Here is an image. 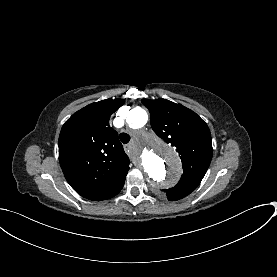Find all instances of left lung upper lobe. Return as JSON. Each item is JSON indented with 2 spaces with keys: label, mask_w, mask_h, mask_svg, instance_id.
<instances>
[{
  "label": "left lung upper lobe",
  "mask_w": 277,
  "mask_h": 277,
  "mask_svg": "<svg viewBox=\"0 0 277 277\" xmlns=\"http://www.w3.org/2000/svg\"><path fill=\"white\" fill-rule=\"evenodd\" d=\"M149 109L153 131L166 143L176 147L183 164L178 184L166 190L168 200L175 201L193 192L204 177L213 154L207 124L192 110L166 99H142Z\"/></svg>",
  "instance_id": "left-lung-upper-lobe-1"
}]
</instances>
